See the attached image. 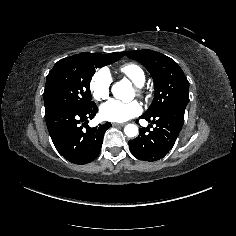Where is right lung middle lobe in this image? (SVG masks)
<instances>
[{"mask_svg":"<svg viewBox=\"0 0 236 236\" xmlns=\"http://www.w3.org/2000/svg\"><path fill=\"white\" fill-rule=\"evenodd\" d=\"M123 55L124 52H84L59 60L47 75L43 94L45 113L58 108L84 110L94 105L90 81L95 69L112 64Z\"/></svg>","mask_w":236,"mask_h":236,"instance_id":"1","label":"right lung middle lobe"}]
</instances>
